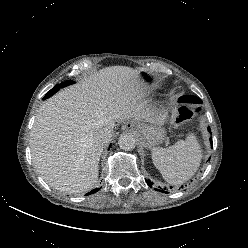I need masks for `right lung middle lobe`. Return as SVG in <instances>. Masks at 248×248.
I'll return each mask as SVG.
<instances>
[{
    "label": "right lung middle lobe",
    "instance_id": "obj_1",
    "mask_svg": "<svg viewBox=\"0 0 248 248\" xmlns=\"http://www.w3.org/2000/svg\"><path fill=\"white\" fill-rule=\"evenodd\" d=\"M74 82L73 81H65V82H62L61 84L59 85H56L54 88H52L49 92H47L46 96L44 97L45 98H48L50 96H52L54 93H56L61 87H66L70 84H73Z\"/></svg>",
    "mask_w": 248,
    "mask_h": 248
}]
</instances>
